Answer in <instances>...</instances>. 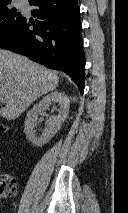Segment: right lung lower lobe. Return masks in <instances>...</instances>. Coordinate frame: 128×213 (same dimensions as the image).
I'll list each match as a JSON object with an SVG mask.
<instances>
[{
  "mask_svg": "<svg viewBox=\"0 0 128 213\" xmlns=\"http://www.w3.org/2000/svg\"><path fill=\"white\" fill-rule=\"evenodd\" d=\"M29 3L38 7L32 14L40 20L34 23L25 19L0 42V48L67 73L83 93L85 55L77 0H33Z\"/></svg>",
  "mask_w": 128,
  "mask_h": 213,
  "instance_id": "right-lung-lower-lobe-1",
  "label": "right lung lower lobe"
}]
</instances>
